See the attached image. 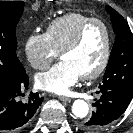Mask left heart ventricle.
<instances>
[{"label":"left heart ventricle","instance_id":"b2bd125f","mask_svg":"<svg viewBox=\"0 0 133 133\" xmlns=\"http://www.w3.org/2000/svg\"><path fill=\"white\" fill-rule=\"evenodd\" d=\"M104 47L105 32L100 25L94 24L87 29L80 44L65 53L62 59L71 62L82 76L99 65Z\"/></svg>","mask_w":133,"mask_h":133}]
</instances>
